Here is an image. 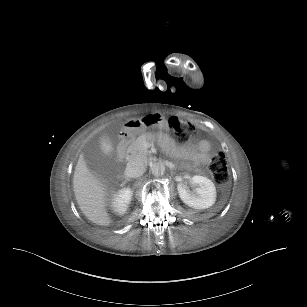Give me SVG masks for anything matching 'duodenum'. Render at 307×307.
<instances>
[{"instance_id": "410a0bca", "label": "duodenum", "mask_w": 307, "mask_h": 307, "mask_svg": "<svg viewBox=\"0 0 307 307\" xmlns=\"http://www.w3.org/2000/svg\"><path fill=\"white\" fill-rule=\"evenodd\" d=\"M121 132H122V135H121V144L119 146V155H118V158L121 159L123 156L126 155L127 153V144L131 141L132 139V132H133V129L130 125H125L122 127L121 129Z\"/></svg>"}]
</instances>
